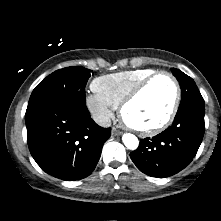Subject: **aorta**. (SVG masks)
<instances>
[{
    "instance_id": "aorta-1",
    "label": "aorta",
    "mask_w": 221,
    "mask_h": 221,
    "mask_svg": "<svg viewBox=\"0 0 221 221\" xmlns=\"http://www.w3.org/2000/svg\"><path fill=\"white\" fill-rule=\"evenodd\" d=\"M122 141H123L124 145L130 150L137 149V147L139 145L138 138L135 135L130 134V133L124 134L122 137Z\"/></svg>"
}]
</instances>
